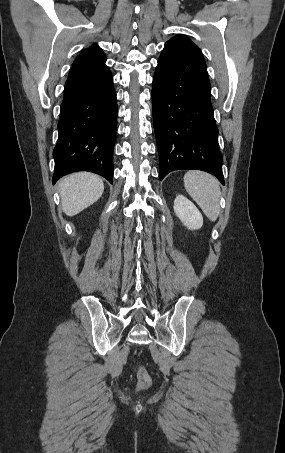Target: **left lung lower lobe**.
<instances>
[{
	"instance_id": "1",
	"label": "left lung lower lobe",
	"mask_w": 285,
	"mask_h": 453,
	"mask_svg": "<svg viewBox=\"0 0 285 453\" xmlns=\"http://www.w3.org/2000/svg\"><path fill=\"white\" fill-rule=\"evenodd\" d=\"M152 112L160 180L174 170L197 169L213 174L224 185L204 59L164 46L153 77Z\"/></svg>"
}]
</instances>
